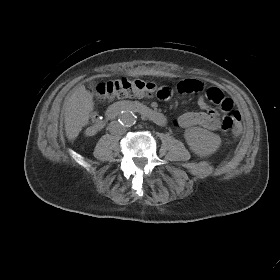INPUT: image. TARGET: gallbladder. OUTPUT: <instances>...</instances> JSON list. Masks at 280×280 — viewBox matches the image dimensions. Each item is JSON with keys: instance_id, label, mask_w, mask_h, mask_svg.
I'll return each mask as SVG.
<instances>
[{"instance_id": "1", "label": "gallbladder", "mask_w": 280, "mask_h": 280, "mask_svg": "<svg viewBox=\"0 0 280 280\" xmlns=\"http://www.w3.org/2000/svg\"><path fill=\"white\" fill-rule=\"evenodd\" d=\"M96 85H97L96 82H91L89 86H90V88H94V87H96Z\"/></svg>"}]
</instances>
